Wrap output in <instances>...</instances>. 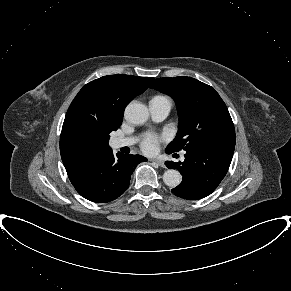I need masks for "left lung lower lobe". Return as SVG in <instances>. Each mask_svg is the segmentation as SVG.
I'll use <instances>...</instances> for the list:
<instances>
[{
	"label": "left lung lower lobe",
	"instance_id": "obj_1",
	"mask_svg": "<svg viewBox=\"0 0 291 291\" xmlns=\"http://www.w3.org/2000/svg\"><path fill=\"white\" fill-rule=\"evenodd\" d=\"M234 149L235 145L195 147L186 150L184 162H165L183 176L181 184L172 189L174 195L197 200L211 194L225 177Z\"/></svg>",
	"mask_w": 291,
	"mask_h": 291
}]
</instances>
